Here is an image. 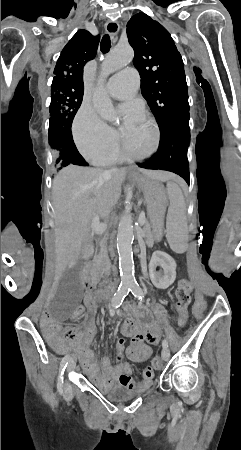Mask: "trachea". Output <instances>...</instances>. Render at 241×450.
<instances>
[{
	"instance_id": "trachea-1",
	"label": "trachea",
	"mask_w": 241,
	"mask_h": 450,
	"mask_svg": "<svg viewBox=\"0 0 241 450\" xmlns=\"http://www.w3.org/2000/svg\"><path fill=\"white\" fill-rule=\"evenodd\" d=\"M110 48H111L110 36L108 34H106L103 36V38L101 40L100 49H101V52L103 54H105V53L109 52Z\"/></svg>"
}]
</instances>
